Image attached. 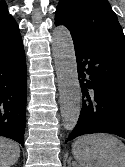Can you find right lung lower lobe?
Here are the masks:
<instances>
[{
  "label": "right lung lower lobe",
  "mask_w": 125,
  "mask_h": 167,
  "mask_svg": "<svg viewBox=\"0 0 125 167\" xmlns=\"http://www.w3.org/2000/svg\"><path fill=\"white\" fill-rule=\"evenodd\" d=\"M27 99L26 59L19 29L0 34V135L22 146Z\"/></svg>",
  "instance_id": "right-lung-lower-lobe-1"
}]
</instances>
